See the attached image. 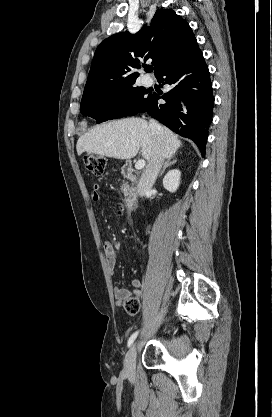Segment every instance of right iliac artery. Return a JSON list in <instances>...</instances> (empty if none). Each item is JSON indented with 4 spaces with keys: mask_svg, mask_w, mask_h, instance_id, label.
Instances as JSON below:
<instances>
[{
    "mask_svg": "<svg viewBox=\"0 0 272 417\" xmlns=\"http://www.w3.org/2000/svg\"><path fill=\"white\" fill-rule=\"evenodd\" d=\"M137 335H138V331H136L135 333H133V334L130 336V338H129V340H128V347H130V346H131V344H132V343L134 342V340L136 339Z\"/></svg>",
    "mask_w": 272,
    "mask_h": 417,
    "instance_id": "1",
    "label": "right iliac artery"
}]
</instances>
